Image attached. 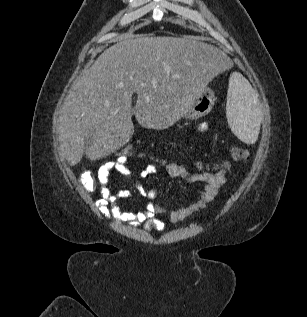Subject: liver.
<instances>
[{
	"label": "liver",
	"instance_id": "liver-1",
	"mask_svg": "<svg viewBox=\"0 0 307 317\" xmlns=\"http://www.w3.org/2000/svg\"><path fill=\"white\" fill-rule=\"evenodd\" d=\"M227 64L222 48L194 36L120 37L84 71L63 103L62 156L74 166L84 153L92 161L110 155L132 137V115L148 129L172 126L210 78L224 75Z\"/></svg>",
	"mask_w": 307,
	"mask_h": 317
}]
</instances>
